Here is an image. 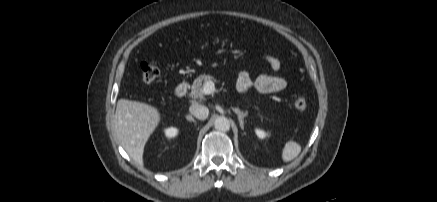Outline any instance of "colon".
Wrapping results in <instances>:
<instances>
[{"label": "colon", "instance_id": "1", "mask_svg": "<svg viewBox=\"0 0 437 202\" xmlns=\"http://www.w3.org/2000/svg\"><path fill=\"white\" fill-rule=\"evenodd\" d=\"M141 75H142V80L145 83L150 84L154 82L158 77L159 69L157 65L153 63L143 62L141 64ZM293 106L297 111H303L307 108L308 102L304 97L300 96L294 99Z\"/></svg>", "mask_w": 437, "mask_h": 202}]
</instances>
